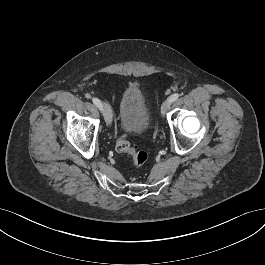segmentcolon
Listing matches in <instances>:
<instances>
[{"label":"colon","instance_id":"obj_1","mask_svg":"<svg viewBox=\"0 0 265 265\" xmlns=\"http://www.w3.org/2000/svg\"><path fill=\"white\" fill-rule=\"evenodd\" d=\"M116 150L119 153L128 155L135 168H142L148 160V154L144 150L139 149L138 145L131 144L125 135H122L117 143Z\"/></svg>","mask_w":265,"mask_h":265}]
</instances>
